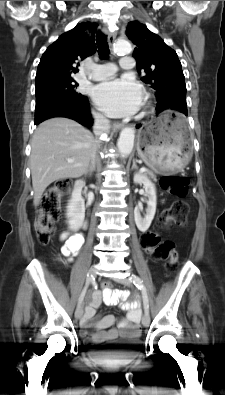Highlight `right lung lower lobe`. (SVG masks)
<instances>
[{
	"label": "right lung lower lobe",
	"mask_w": 225,
	"mask_h": 395,
	"mask_svg": "<svg viewBox=\"0 0 225 395\" xmlns=\"http://www.w3.org/2000/svg\"><path fill=\"white\" fill-rule=\"evenodd\" d=\"M53 117H66L84 126H91L93 120L89 112L88 98H62L35 110V122L39 124Z\"/></svg>",
	"instance_id": "right-lung-lower-lobe-1"
}]
</instances>
